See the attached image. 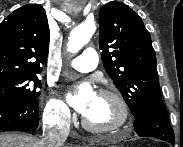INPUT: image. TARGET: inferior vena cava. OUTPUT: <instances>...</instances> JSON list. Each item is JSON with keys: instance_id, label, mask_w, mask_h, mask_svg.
I'll return each mask as SVG.
<instances>
[{"instance_id": "602c4592", "label": "inferior vena cava", "mask_w": 183, "mask_h": 147, "mask_svg": "<svg viewBox=\"0 0 183 147\" xmlns=\"http://www.w3.org/2000/svg\"><path fill=\"white\" fill-rule=\"evenodd\" d=\"M69 134L68 124L56 127L46 126L43 129L41 147H62Z\"/></svg>"}]
</instances>
